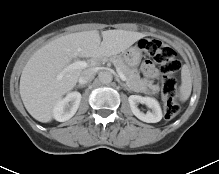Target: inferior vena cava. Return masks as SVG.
Here are the masks:
<instances>
[{"label": "inferior vena cava", "instance_id": "1", "mask_svg": "<svg viewBox=\"0 0 219 174\" xmlns=\"http://www.w3.org/2000/svg\"><path fill=\"white\" fill-rule=\"evenodd\" d=\"M95 74L96 72L94 69H88V70L83 71L78 80L79 84L83 85V84L88 83L94 78Z\"/></svg>", "mask_w": 219, "mask_h": 174}]
</instances>
